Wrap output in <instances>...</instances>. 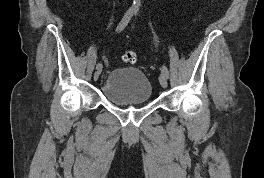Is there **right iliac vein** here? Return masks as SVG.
Wrapping results in <instances>:
<instances>
[{"label": "right iliac vein", "mask_w": 264, "mask_h": 178, "mask_svg": "<svg viewBox=\"0 0 264 178\" xmlns=\"http://www.w3.org/2000/svg\"><path fill=\"white\" fill-rule=\"evenodd\" d=\"M101 71H102V69H97V71L94 73V80L95 81L99 78Z\"/></svg>", "instance_id": "right-iliac-vein-1"}]
</instances>
